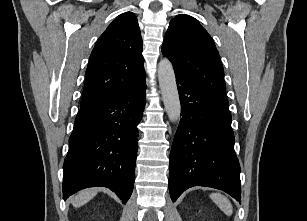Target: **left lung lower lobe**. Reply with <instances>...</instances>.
Instances as JSON below:
<instances>
[{"label": "left lung lower lobe", "mask_w": 307, "mask_h": 221, "mask_svg": "<svg viewBox=\"0 0 307 221\" xmlns=\"http://www.w3.org/2000/svg\"><path fill=\"white\" fill-rule=\"evenodd\" d=\"M175 75L182 118L170 152L172 201L190 187L207 186L241 202L240 166L228 104L199 90L181 74Z\"/></svg>", "instance_id": "1"}]
</instances>
